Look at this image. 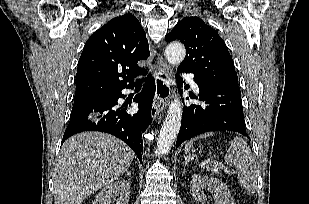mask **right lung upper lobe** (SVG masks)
Masks as SVG:
<instances>
[{"mask_svg":"<svg viewBox=\"0 0 309 204\" xmlns=\"http://www.w3.org/2000/svg\"><path fill=\"white\" fill-rule=\"evenodd\" d=\"M150 55L145 32L135 16L110 20L87 40L79 59L74 104L103 97L129 85ZM130 83V84H127Z\"/></svg>","mask_w":309,"mask_h":204,"instance_id":"right-lung-upper-lobe-1","label":"right lung upper lobe"}]
</instances>
